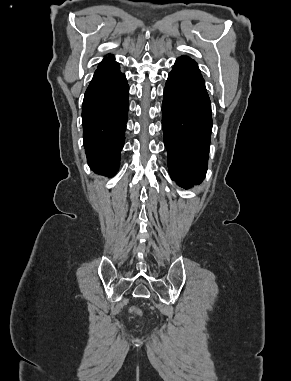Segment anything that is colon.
Here are the masks:
<instances>
[{"label":"colon","mask_w":291,"mask_h":381,"mask_svg":"<svg viewBox=\"0 0 291 381\" xmlns=\"http://www.w3.org/2000/svg\"><path fill=\"white\" fill-rule=\"evenodd\" d=\"M131 311H132L133 313L137 314V315H140V314H141L140 310L137 309V308H135V307H133V308L131 309Z\"/></svg>","instance_id":"colon-1"}]
</instances>
